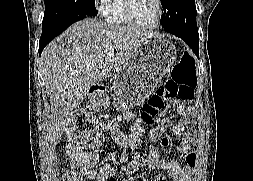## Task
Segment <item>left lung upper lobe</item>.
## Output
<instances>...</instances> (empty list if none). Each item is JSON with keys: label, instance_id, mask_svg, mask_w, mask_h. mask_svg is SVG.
<instances>
[{"label": "left lung upper lobe", "instance_id": "5c2ea615", "mask_svg": "<svg viewBox=\"0 0 253 181\" xmlns=\"http://www.w3.org/2000/svg\"><path fill=\"white\" fill-rule=\"evenodd\" d=\"M164 13L161 25L167 29L198 32L194 0H161Z\"/></svg>", "mask_w": 253, "mask_h": 181}]
</instances>
